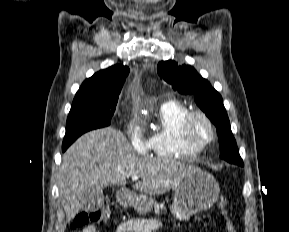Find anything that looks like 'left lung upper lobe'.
I'll return each instance as SVG.
<instances>
[{
	"mask_svg": "<svg viewBox=\"0 0 289 232\" xmlns=\"http://www.w3.org/2000/svg\"><path fill=\"white\" fill-rule=\"evenodd\" d=\"M158 75L181 94H193L197 105L215 124L220 142L221 158L243 165L221 95L188 65L178 66L174 61H161Z\"/></svg>",
	"mask_w": 289,
	"mask_h": 232,
	"instance_id": "1",
	"label": "left lung upper lobe"
}]
</instances>
